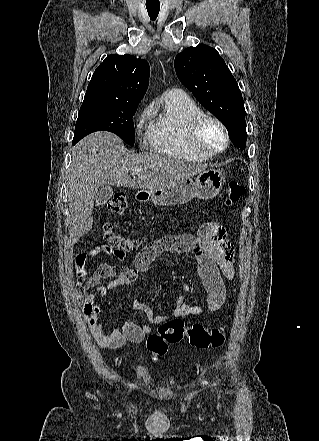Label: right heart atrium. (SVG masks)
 <instances>
[{
	"mask_svg": "<svg viewBox=\"0 0 319 441\" xmlns=\"http://www.w3.org/2000/svg\"><path fill=\"white\" fill-rule=\"evenodd\" d=\"M154 107L152 104L145 106L137 115L134 123L136 136L142 147L150 143L152 122H150Z\"/></svg>",
	"mask_w": 319,
	"mask_h": 441,
	"instance_id": "obj_1",
	"label": "right heart atrium"
}]
</instances>
